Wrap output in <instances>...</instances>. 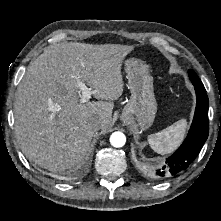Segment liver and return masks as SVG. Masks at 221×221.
<instances>
[{
  "label": "liver",
  "instance_id": "obj_1",
  "mask_svg": "<svg viewBox=\"0 0 221 221\" xmlns=\"http://www.w3.org/2000/svg\"><path fill=\"white\" fill-rule=\"evenodd\" d=\"M133 46L70 42L50 46L31 62L14 101L15 134L22 152L50 171H62L86 155L94 131L112 122L113 100L123 93L121 66ZM86 83L97 102L81 103L78 82Z\"/></svg>",
  "mask_w": 221,
  "mask_h": 221
}]
</instances>
